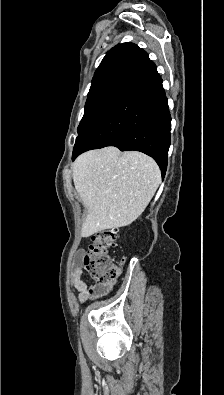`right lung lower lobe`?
I'll return each instance as SVG.
<instances>
[{"mask_svg":"<svg viewBox=\"0 0 224 395\" xmlns=\"http://www.w3.org/2000/svg\"><path fill=\"white\" fill-rule=\"evenodd\" d=\"M171 116L162 79L148 54L139 49L119 70L112 87L77 137L72 160L106 146L151 156L162 177L167 168Z\"/></svg>","mask_w":224,"mask_h":395,"instance_id":"obj_1","label":"right lung lower lobe"}]
</instances>
